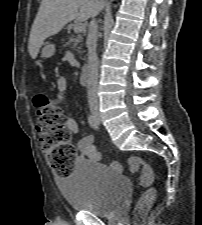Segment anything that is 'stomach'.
I'll return each instance as SVG.
<instances>
[{
  "mask_svg": "<svg viewBox=\"0 0 202 225\" xmlns=\"http://www.w3.org/2000/svg\"><path fill=\"white\" fill-rule=\"evenodd\" d=\"M55 45L49 42L43 44L41 55L43 58L47 59L54 55Z\"/></svg>",
  "mask_w": 202,
  "mask_h": 225,
  "instance_id": "stomach-1",
  "label": "stomach"
}]
</instances>
